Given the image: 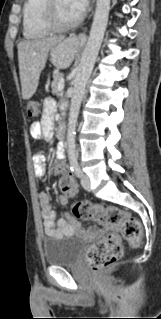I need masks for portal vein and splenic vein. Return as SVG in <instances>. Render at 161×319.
<instances>
[{"instance_id":"1","label":"portal vein and splenic vein","mask_w":161,"mask_h":319,"mask_svg":"<svg viewBox=\"0 0 161 319\" xmlns=\"http://www.w3.org/2000/svg\"><path fill=\"white\" fill-rule=\"evenodd\" d=\"M64 89V75H61V79L58 85V91H62Z\"/></svg>"}]
</instances>
